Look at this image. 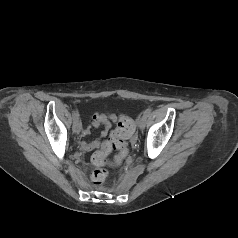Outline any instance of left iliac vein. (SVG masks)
<instances>
[{
  "mask_svg": "<svg viewBox=\"0 0 238 238\" xmlns=\"http://www.w3.org/2000/svg\"><path fill=\"white\" fill-rule=\"evenodd\" d=\"M145 124H146V118L144 116H142L141 118H139L138 120V125H139V128L141 130H143L145 128Z\"/></svg>",
  "mask_w": 238,
  "mask_h": 238,
  "instance_id": "left-iliac-vein-1",
  "label": "left iliac vein"
}]
</instances>
